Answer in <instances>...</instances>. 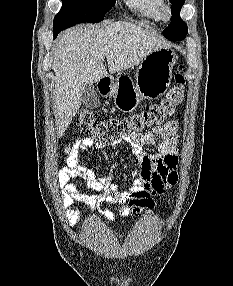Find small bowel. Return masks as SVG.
Returning <instances> with one entry per match:
<instances>
[{
  "label": "small bowel",
  "instance_id": "small-bowel-1",
  "mask_svg": "<svg viewBox=\"0 0 233 286\" xmlns=\"http://www.w3.org/2000/svg\"><path fill=\"white\" fill-rule=\"evenodd\" d=\"M177 130V121L171 120L150 132L124 139L131 146L134 165V179L127 190L118 189L109 176H99L94 168L80 162L86 151L91 148L104 149L106 144L89 136L78 138L66 149V166L57 173L63 207L67 209L75 201H83L91 206L92 212L100 208L104 217L112 221L115 213L107 208V205L115 206L117 214L126 217L132 214L129 207L130 199L139 192L147 191L151 201L145 209L150 214L154 206L151 197L163 194L177 182ZM146 144L155 145L157 151L146 152ZM75 177L83 180L82 186L70 181ZM83 189H92L96 194L85 193ZM66 218L70 225H75L81 220V213L67 210Z\"/></svg>",
  "mask_w": 233,
  "mask_h": 286
}]
</instances>
